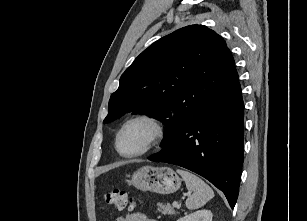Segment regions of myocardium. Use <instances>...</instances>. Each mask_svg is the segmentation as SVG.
Wrapping results in <instances>:
<instances>
[{
    "label": "myocardium",
    "instance_id": "1",
    "mask_svg": "<svg viewBox=\"0 0 307 221\" xmlns=\"http://www.w3.org/2000/svg\"><path fill=\"white\" fill-rule=\"evenodd\" d=\"M139 122L146 123L149 126L150 131H151L150 137L148 139L146 146L142 150L135 152V153L127 154V153L122 152L120 149V145H119L121 135L123 134L124 130L129 125L134 124V123H139ZM164 136H165V128L160 119L150 114H145V113L138 114V115H135L129 118L122 124V126L120 127L116 135L115 148L122 157L135 158V157L145 155L146 153L151 151L153 148H155L163 140Z\"/></svg>",
    "mask_w": 307,
    "mask_h": 221
}]
</instances>
